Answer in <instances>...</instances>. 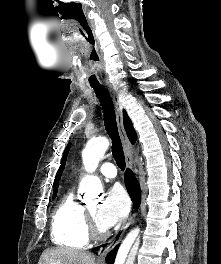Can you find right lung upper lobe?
Masks as SVG:
<instances>
[{"label": "right lung upper lobe", "mask_w": 221, "mask_h": 264, "mask_svg": "<svg viewBox=\"0 0 221 264\" xmlns=\"http://www.w3.org/2000/svg\"><path fill=\"white\" fill-rule=\"evenodd\" d=\"M123 118H124V127L126 130V133L129 137L131 143L134 144L136 141V132H135L133 125H132V122H131L130 118L128 117L125 110H123Z\"/></svg>", "instance_id": "right-lung-upper-lobe-1"}]
</instances>
